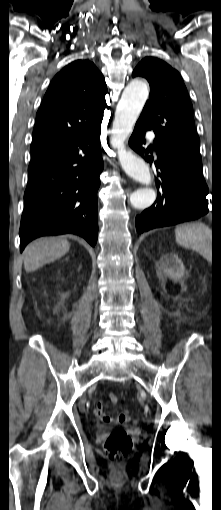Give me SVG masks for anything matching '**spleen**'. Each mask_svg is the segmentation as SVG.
<instances>
[{"label":"spleen","mask_w":221,"mask_h":510,"mask_svg":"<svg viewBox=\"0 0 221 510\" xmlns=\"http://www.w3.org/2000/svg\"><path fill=\"white\" fill-rule=\"evenodd\" d=\"M176 242L185 248L199 252L206 259L211 258L212 232L202 223L182 224L175 229Z\"/></svg>","instance_id":"3e777b00"}]
</instances>
